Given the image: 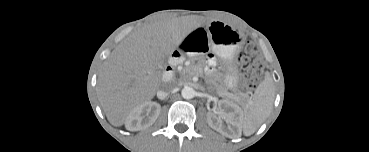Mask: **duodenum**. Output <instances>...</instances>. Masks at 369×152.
I'll return each instance as SVG.
<instances>
[{"mask_svg": "<svg viewBox=\"0 0 369 152\" xmlns=\"http://www.w3.org/2000/svg\"><path fill=\"white\" fill-rule=\"evenodd\" d=\"M173 56L171 57V61L170 64L165 68L164 73H163V80L165 82L171 81L173 76H174V71H173Z\"/></svg>", "mask_w": 369, "mask_h": 152, "instance_id": "410a0bca", "label": "duodenum"}]
</instances>
